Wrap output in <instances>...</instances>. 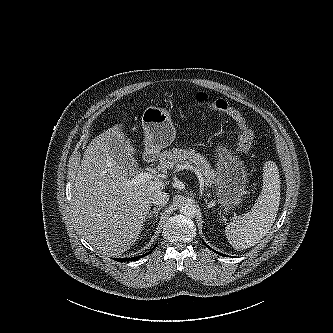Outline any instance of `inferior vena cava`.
<instances>
[{
    "mask_svg": "<svg viewBox=\"0 0 333 333\" xmlns=\"http://www.w3.org/2000/svg\"><path fill=\"white\" fill-rule=\"evenodd\" d=\"M169 201V195L166 192L156 191L152 196V203L157 206H165Z\"/></svg>",
    "mask_w": 333,
    "mask_h": 333,
    "instance_id": "obj_1",
    "label": "inferior vena cava"
}]
</instances>
